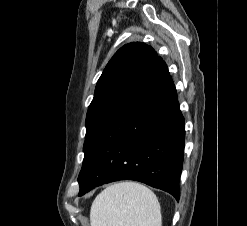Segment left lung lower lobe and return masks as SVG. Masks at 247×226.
<instances>
[{"instance_id":"left-lung-lower-lobe-1","label":"left lung lower lobe","mask_w":247,"mask_h":226,"mask_svg":"<svg viewBox=\"0 0 247 226\" xmlns=\"http://www.w3.org/2000/svg\"><path fill=\"white\" fill-rule=\"evenodd\" d=\"M184 140L176 89L158 57L85 158L79 196L128 179L162 189L178 201Z\"/></svg>"}]
</instances>
